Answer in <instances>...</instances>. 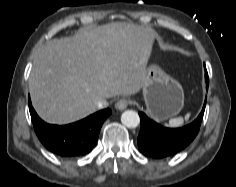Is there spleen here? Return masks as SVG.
Returning a JSON list of instances; mask_svg holds the SVG:
<instances>
[{"label":"spleen","mask_w":236,"mask_h":187,"mask_svg":"<svg viewBox=\"0 0 236 187\" xmlns=\"http://www.w3.org/2000/svg\"><path fill=\"white\" fill-rule=\"evenodd\" d=\"M189 117L190 113L186 114L184 119L187 121ZM184 119L182 117L172 118L169 120V123H165L164 126L173 128L180 127L184 124Z\"/></svg>","instance_id":"1"}]
</instances>
